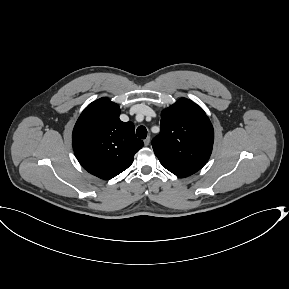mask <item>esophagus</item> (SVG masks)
<instances>
[{"label": "esophagus", "mask_w": 289, "mask_h": 289, "mask_svg": "<svg viewBox=\"0 0 289 289\" xmlns=\"http://www.w3.org/2000/svg\"><path fill=\"white\" fill-rule=\"evenodd\" d=\"M144 144L145 146H148L150 144V137H147L145 140H144Z\"/></svg>", "instance_id": "obj_1"}]
</instances>
